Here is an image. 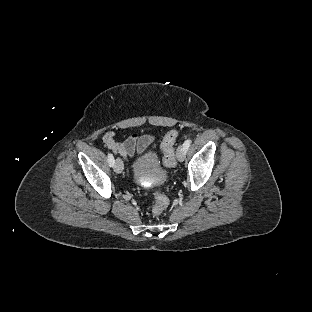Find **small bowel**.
<instances>
[{"label":"small bowel","instance_id":"small-bowel-1","mask_svg":"<svg viewBox=\"0 0 312 312\" xmlns=\"http://www.w3.org/2000/svg\"><path fill=\"white\" fill-rule=\"evenodd\" d=\"M104 144L115 154L129 160L136 155L142 154L146 149H154V139L150 135L132 134L122 143L115 141V132L108 131L103 137Z\"/></svg>","mask_w":312,"mask_h":312}]
</instances>
